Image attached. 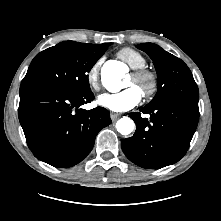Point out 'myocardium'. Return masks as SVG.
<instances>
[{
    "label": "myocardium",
    "mask_w": 221,
    "mask_h": 221,
    "mask_svg": "<svg viewBox=\"0 0 221 221\" xmlns=\"http://www.w3.org/2000/svg\"><path fill=\"white\" fill-rule=\"evenodd\" d=\"M133 81L140 86L141 94L144 98H152L159 88L158 74L145 67L134 69L132 72Z\"/></svg>",
    "instance_id": "myocardium-1"
}]
</instances>
